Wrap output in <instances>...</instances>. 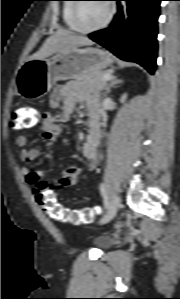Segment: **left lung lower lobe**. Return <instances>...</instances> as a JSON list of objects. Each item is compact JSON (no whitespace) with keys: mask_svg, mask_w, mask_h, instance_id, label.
<instances>
[{"mask_svg":"<svg viewBox=\"0 0 180 299\" xmlns=\"http://www.w3.org/2000/svg\"><path fill=\"white\" fill-rule=\"evenodd\" d=\"M126 1L106 29L93 32L89 38L110 50L122 60L136 62L154 74L157 57V20L162 0Z\"/></svg>","mask_w":180,"mask_h":299,"instance_id":"left-lung-lower-lobe-1","label":"left lung lower lobe"}]
</instances>
